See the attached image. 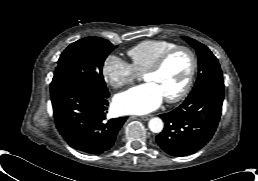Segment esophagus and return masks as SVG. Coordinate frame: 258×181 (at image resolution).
Segmentation results:
<instances>
[{
  "label": "esophagus",
  "instance_id": "34e87169",
  "mask_svg": "<svg viewBox=\"0 0 258 181\" xmlns=\"http://www.w3.org/2000/svg\"><path fill=\"white\" fill-rule=\"evenodd\" d=\"M140 118L144 121H147L152 118V115L141 116Z\"/></svg>",
  "mask_w": 258,
  "mask_h": 181
}]
</instances>
